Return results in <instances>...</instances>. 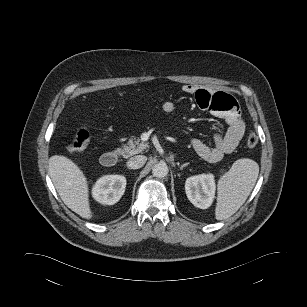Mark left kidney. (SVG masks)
I'll use <instances>...</instances> for the list:
<instances>
[{
    "instance_id": "obj_1",
    "label": "left kidney",
    "mask_w": 307,
    "mask_h": 307,
    "mask_svg": "<svg viewBox=\"0 0 307 307\" xmlns=\"http://www.w3.org/2000/svg\"><path fill=\"white\" fill-rule=\"evenodd\" d=\"M215 179L213 174H200L187 178L185 192L189 201L200 209L211 206L215 197Z\"/></svg>"
}]
</instances>
